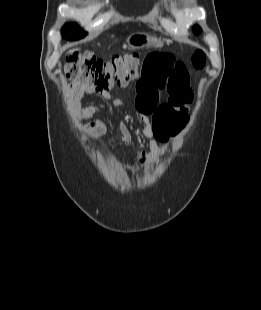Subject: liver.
<instances>
[{
    "label": "liver",
    "mask_w": 261,
    "mask_h": 310,
    "mask_svg": "<svg viewBox=\"0 0 261 310\" xmlns=\"http://www.w3.org/2000/svg\"><path fill=\"white\" fill-rule=\"evenodd\" d=\"M74 51H75V49H73V50H70L69 52H70V53H73Z\"/></svg>",
    "instance_id": "1"
}]
</instances>
